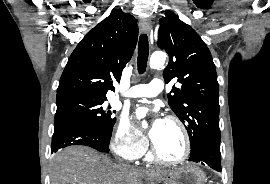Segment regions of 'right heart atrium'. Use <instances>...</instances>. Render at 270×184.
<instances>
[{"label": "right heart atrium", "instance_id": "1", "mask_svg": "<svg viewBox=\"0 0 270 184\" xmlns=\"http://www.w3.org/2000/svg\"><path fill=\"white\" fill-rule=\"evenodd\" d=\"M111 147L120 158L134 161L144 155L148 141L134 129L128 119L122 118L113 134Z\"/></svg>", "mask_w": 270, "mask_h": 184}]
</instances>
